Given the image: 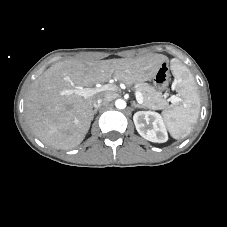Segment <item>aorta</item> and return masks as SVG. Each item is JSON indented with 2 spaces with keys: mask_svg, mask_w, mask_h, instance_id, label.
<instances>
[{
  "mask_svg": "<svg viewBox=\"0 0 227 227\" xmlns=\"http://www.w3.org/2000/svg\"><path fill=\"white\" fill-rule=\"evenodd\" d=\"M115 106H116L117 109H120V110L125 109L126 108V101L123 100V99H117L115 101Z\"/></svg>",
  "mask_w": 227,
  "mask_h": 227,
  "instance_id": "762f6f07",
  "label": "aorta"
}]
</instances>
